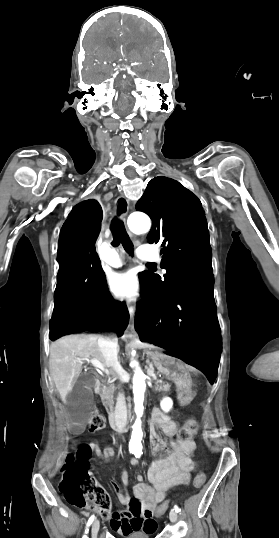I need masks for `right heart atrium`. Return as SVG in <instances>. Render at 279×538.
<instances>
[{"instance_id":"obj_1","label":"right heart atrium","mask_w":279,"mask_h":538,"mask_svg":"<svg viewBox=\"0 0 279 538\" xmlns=\"http://www.w3.org/2000/svg\"><path fill=\"white\" fill-rule=\"evenodd\" d=\"M132 232L136 235H142L144 233L143 229H132ZM105 309L108 313H112L114 308L113 305L110 302H106Z\"/></svg>"}]
</instances>
